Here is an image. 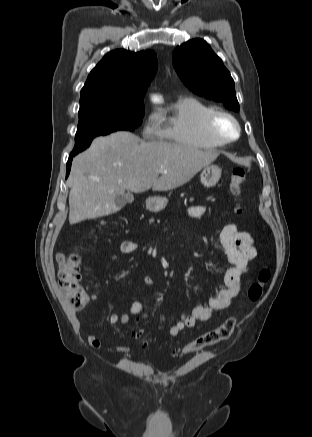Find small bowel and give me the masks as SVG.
<instances>
[{
    "mask_svg": "<svg viewBox=\"0 0 312 437\" xmlns=\"http://www.w3.org/2000/svg\"><path fill=\"white\" fill-rule=\"evenodd\" d=\"M204 212V206H194L189 210V215L191 217H199ZM219 241L231 264L224 275L222 285L218 292L210 299L207 306L196 305L190 314H182L180 319L170 327L169 333L171 336H177L185 328L194 327L198 321L209 320L215 311L228 308L240 291L243 275L249 271L251 262L258 256L252 236L246 231H240L232 220H229L222 229ZM201 242L208 244V239L203 236L201 237ZM138 249L139 244L132 240H124L120 244V251L122 253H132ZM143 283L147 286H152L154 285V280L150 276H145ZM129 312L140 317L142 320L146 321L148 319L143 305L138 301L131 302ZM159 316L161 320H165L163 314ZM107 321L110 324H116L119 321L127 325L130 323L126 312L120 315L112 314L107 318ZM87 342L94 348H104L108 352L118 351L127 353L129 351V348L124 345L102 342L93 334L87 336Z\"/></svg>",
    "mask_w": 312,
    "mask_h": 437,
    "instance_id": "obj_1",
    "label": "small bowel"
}]
</instances>
